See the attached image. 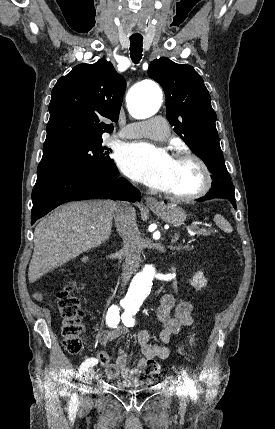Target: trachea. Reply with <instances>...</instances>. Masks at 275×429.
<instances>
[{
    "label": "trachea",
    "mask_w": 275,
    "mask_h": 429,
    "mask_svg": "<svg viewBox=\"0 0 275 429\" xmlns=\"http://www.w3.org/2000/svg\"><path fill=\"white\" fill-rule=\"evenodd\" d=\"M142 40V37H130V55L135 64L142 58Z\"/></svg>",
    "instance_id": "1"
}]
</instances>
